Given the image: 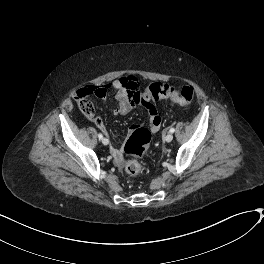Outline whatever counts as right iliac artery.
I'll return each mask as SVG.
<instances>
[{
	"label": "right iliac artery",
	"instance_id": "82829eb1",
	"mask_svg": "<svg viewBox=\"0 0 264 264\" xmlns=\"http://www.w3.org/2000/svg\"><path fill=\"white\" fill-rule=\"evenodd\" d=\"M98 138L99 139H102L103 138V135L101 133L98 134Z\"/></svg>",
	"mask_w": 264,
	"mask_h": 264
}]
</instances>
